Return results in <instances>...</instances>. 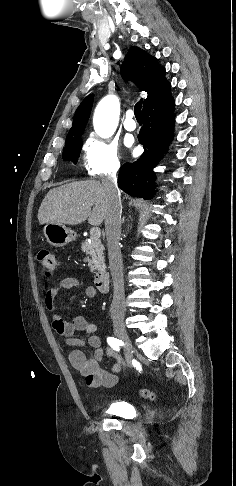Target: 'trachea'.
Here are the masks:
<instances>
[{"instance_id": "obj_1", "label": "trachea", "mask_w": 236, "mask_h": 486, "mask_svg": "<svg viewBox=\"0 0 236 486\" xmlns=\"http://www.w3.org/2000/svg\"><path fill=\"white\" fill-rule=\"evenodd\" d=\"M141 108H142V99L138 101V103L134 107V113L137 120L142 119Z\"/></svg>"}]
</instances>
